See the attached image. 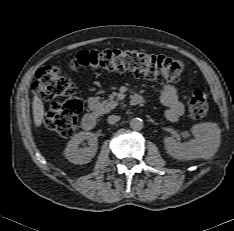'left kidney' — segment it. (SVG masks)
I'll return each instance as SVG.
<instances>
[{
    "mask_svg": "<svg viewBox=\"0 0 234 231\" xmlns=\"http://www.w3.org/2000/svg\"><path fill=\"white\" fill-rule=\"evenodd\" d=\"M194 139L179 143L171 137L164 138L167 153L178 160L210 158L221 143V130L216 123H199L191 128Z\"/></svg>",
    "mask_w": 234,
    "mask_h": 231,
    "instance_id": "5707ae66",
    "label": "left kidney"
}]
</instances>
